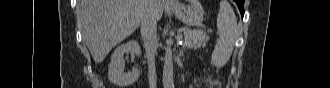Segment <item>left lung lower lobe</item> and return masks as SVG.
Returning a JSON list of instances; mask_svg holds the SVG:
<instances>
[{"label": "left lung lower lobe", "mask_w": 330, "mask_h": 88, "mask_svg": "<svg viewBox=\"0 0 330 88\" xmlns=\"http://www.w3.org/2000/svg\"><path fill=\"white\" fill-rule=\"evenodd\" d=\"M234 1L237 3V5L239 7V10H240V13H241V16L243 18V16H244V1L245 0H234Z\"/></svg>", "instance_id": "left-lung-lower-lobe-1"}]
</instances>
